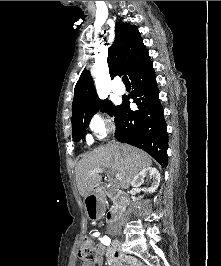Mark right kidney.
I'll use <instances>...</instances> for the list:
<instances>
[{"label": "right kidney", "instance_id": "right-kidney-1", "mask_svg": "<svg viewBox=\"0 0 221 266\" xmlns=\"http://www.w3.org/2000/svg\"><path fill=\"white\" fill-rule=\"evenodd\" d=\"M145 178H147L146 181L149 178L150 187L140 188V186L144 183ZM159 183H160L159 171L154 167H146L135 176V178L133 179L132 185L141 189L144 192L153 193L158 188Z\"/></svg>", "mask_w": 221, "mask_h": 266}]
</instances>
